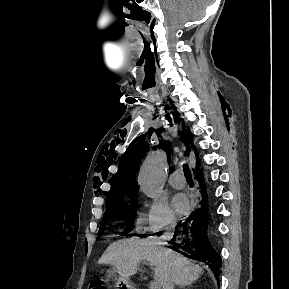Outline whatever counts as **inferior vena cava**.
Masks as SVG:
<instances>
[{
	"mask_svg": "<svg viewBox=\"0 0 289 289\" xmlns=\"http://www.w3.org/2000/svg\"><path fill=\"white\" fill-rule=\"evenodd\" d=\"M174 228H175L174 222H172L168 227H166V233H165L166 238L169 239L172 237ZM162 289H173V280H172V275L170 271L166 272L164 276V279L162 281Z\"/></svg>",
	"mask_w": 289,
	"mask_h": 289,
	"instance_id": "1",
	"label": "inferior vena cava"
}]
</instances>
